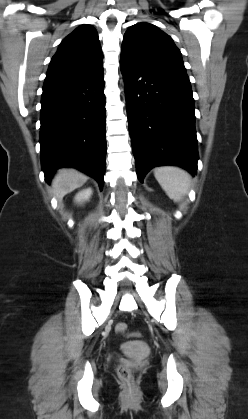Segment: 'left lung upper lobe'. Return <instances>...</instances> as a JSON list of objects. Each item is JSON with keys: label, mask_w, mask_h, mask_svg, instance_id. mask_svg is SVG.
I'll list each match as a JSON object with an SVG mask.
<instances>
[{"label": "left lung upper lobe", "mask_w": 248, "mask_h": 419, "mask_svg": "<svg viewBox=\"0 0 248 419\" xmlns=\"http://www.w3.org/2000/svg\"><path fill=\"white\" fill-rule=\"evenodd\" d=\"M121 58L143 68L189 81L181 52L172 38L149 23H137L125 33Z\"/></svg>", "instance_id": "1"}]
</instances>
